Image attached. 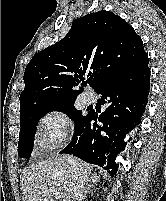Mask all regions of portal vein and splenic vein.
I'll list each match as a JSON object with an SVG mask.
<instances>
[{"mask_svg": "<svg viewBox=\"0 0 166 201\" xmlns=\"http://www.w3.org/2000/svg\"><path fill=\"white\" fill-rule=\"evenodd\" d=\"M53 195L55 196V198H59L58 193H53Z\"/></svg>", "mask_w": 166, "mask_h": 201, "instance_id": "1", "label": "portal vein and splenic vein"}]
</instances>
